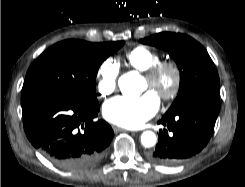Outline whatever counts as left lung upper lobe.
I'll return each instance as SVG.
<instances>
[{
    "label": "left lung upper lobe",
    "mask_w": 245,
    "mask_h": 187,
    "mask_svg": "<svg viewBox=\"0 0 245 187\" xmlns=\"http://www.w3.org/2000/svg\"><path fill=\"white\" fill-rule=\"evenodd\" d=\"M140 42L168 51L178 65L179 93L166 114L198 99L219 96L220 82L216 67L205 48L193 38L180 33L162 32Z\"/></svg>",
    "instance_id": "obj_1"
}]
</instances>
